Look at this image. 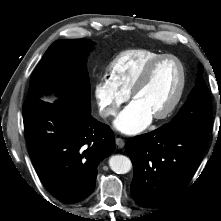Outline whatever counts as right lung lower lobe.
I'll list each match as a JSON object with an SVG mask.
<instances>
[{"mask_svg":"<svg viewBox=\"0 0 221 221\" xmlns=\"http://www.w3.org/2000/svg\"><path fill=\"white\" fill-rule=\"evenodd\" d=\"M23 121L36 171L47 190L67 204L88 197L98 164L115 149L108 125L66 97L53 104L39 97L27 99Z\"/></svg>","mask_w":221,"mask_h":221,"instance_id":"obj_1","label":"right lung lower lobe"}]
</instances>
